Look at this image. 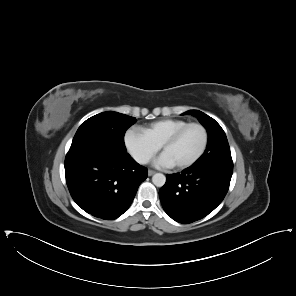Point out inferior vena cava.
Segmentation results:
<instances>
[{"instance_id":"obj_1","label":"inferior vena cava","mask_w":296,"mask_h":296,"mask_svg":"<svg viewBox=\"0 0 296 296\" xmlns=\"http://www.w3.org/2000/svg\"><path fill=\"white\" fill-rule=\"evenodd\" d=\"M133 157L139 164H147L150 160V156L144 153H136Z\"/></svg>"}]
</instances>
